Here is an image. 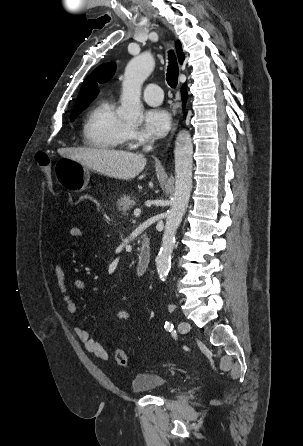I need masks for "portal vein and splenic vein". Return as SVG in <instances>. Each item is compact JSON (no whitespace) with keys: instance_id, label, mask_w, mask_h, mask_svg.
Masks as SVG:
<instances>
[{"instance_id":"obj_1","label":"portal vein and splenic vein","mask_w":303,"mask_h":446,"mask_svg":"<svg viewBox=\"0 0 303 446\" xmlns=\"http://www.w3.org/2000/svg\"><path fill=\"white\" fill-rule=\"evenodd\" d=\"M140 213H141V210H140L139 208H136V209L134 210V215H135V216H139Z\"/></svg>"}]
</instances>
